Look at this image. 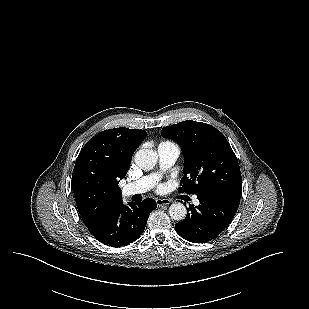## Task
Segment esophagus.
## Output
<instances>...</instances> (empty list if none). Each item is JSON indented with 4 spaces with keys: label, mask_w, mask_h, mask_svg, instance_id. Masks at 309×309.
<instances>
[{
    "label": "esophagus",
    "mask_w": 309,
    "mask_h": 309,
    "mask_svg": "<svg viewBox=\"0 0 309 309\" xmlns=\"http://www.w3.org/2000/svg\"><path fill=\"white\" fill-rule=\"evenodd\" d=\"M171 203L170 199H157L156 204L158 207H161L163 205H169Z\"/></svg>",
    "instance_id": "esophagus-1"
}]
</instances>
